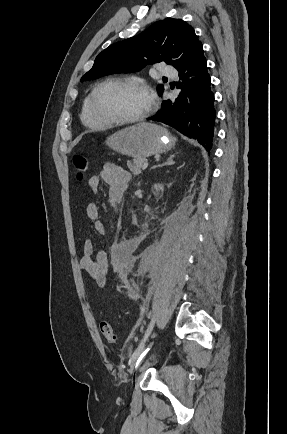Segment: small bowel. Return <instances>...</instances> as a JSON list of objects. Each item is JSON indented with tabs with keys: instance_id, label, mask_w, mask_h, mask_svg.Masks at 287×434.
<instances>
[{
	"instance_id": "small-bowel-1",
	"label": "small bowel",
	"mask_w": 287,
	"mask_h": 434,
	"mask_svg": "<svg viewBox=\"0 0 287 434\" xmlns=\"http://www.w3.org/2000/svg\"><path fill=\"white\" fill-rule=\"evenodd\" d=\"M130 178V173L123 167L114 163H106L97 174L88 179V187L91 191L97 192L102 183L106 184L109 202L116 207L124 196ZM85 218L92 224L97 234L102 236L107 234V225L99 217L98 204L92 202L86 205ZM79 267L96 286L104 287L106 285L109 260L106 252L101 249L97 250L91 239H87L83 244Z\"/></svg>"
}]
</instances>
